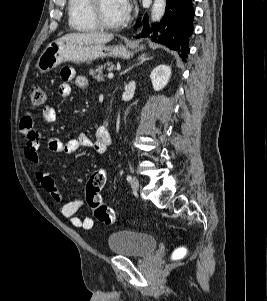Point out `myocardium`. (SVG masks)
Returning <instances> with one entry per match:
<instances>
[{
    "label": "myocardium",
    "mask_w": 267,
    "mask_h": 301,
    "mask_svg": "<svg viewBox=\"0 0 267 301\" xmlns=\"http://www.w3.org/2000/svg\"><path fill=\"white\" fill-rule=\"evenodd\" d=\"M90 1H91L90 3L91 16L99 28L106 29V30H117L125 27L129 23L130 21L129 11L127 12L125 18H123L121 21L116 23H109L102 16V12H101L102 0H90Z\"/></svg>",
    "instance_id": "myocardium-1"
}]
</instances>
